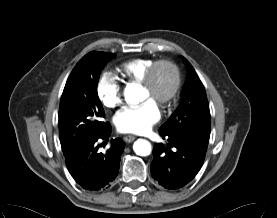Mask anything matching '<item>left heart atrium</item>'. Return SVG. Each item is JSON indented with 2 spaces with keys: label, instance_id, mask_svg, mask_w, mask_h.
<instances>
[{
  "label": "left heart atrium",
  "instance_id": "39dd6f15",
  "mask_svg": "<svg viewBox=\"0 0 277 218\" xmlns=\"http://www.w3.org/2000/svg\"><path fill=\"white\" fill-rule=\"evenodd\" d=\"M157 116L156 105L152 101H147L121 110L118 114V125L122 130H143L149 127Z\"/></svg>",
  "mask_w": 277,
  "mask_h": 218
}]
</instances>
